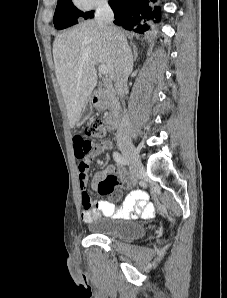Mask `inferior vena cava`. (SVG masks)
<instances>
[{"label": "inferior vena cava", "mask_w": 227, "mask_h": 298, "mask_svg": "<svg viewBox=\"0 0 227 298\" xmlns=\"http://www.w3.org/2000/svg\"><path fill=\"white\" fill-rule=\"evenodd\" d=\"M113 20L114 14L107 0L102 1L95 12V21L113 42L116 73L115 88L118 95L123 98L127 91L128 76L133 69V56L125 37L114 27ZM128 136V118L124 110L116 137L118 140H126Z\"/></svg>", "instance_id": "602c4592"}]
</instances>
